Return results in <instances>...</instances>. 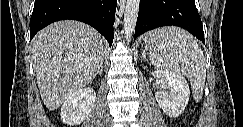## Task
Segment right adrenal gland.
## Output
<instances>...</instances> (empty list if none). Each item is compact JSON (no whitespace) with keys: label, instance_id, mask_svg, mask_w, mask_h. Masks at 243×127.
I'll use <instances>...</instances> for the list:
<instances>
[{"label":"right adrenal gland","instance_id":"1","mask_svg":"<svg viewBox=\"0 0 243 127\" xmlns=\"http://www.w3.org/2000/svg\"><path fill=\"white\" fill-rule=\"evenodd\" d=\"M102 72H103V64H102V66H101V68H100V71H99V75H101L102 74Z\"/></svg>","mask_w":243,"mask_h":127}]
</instances>
